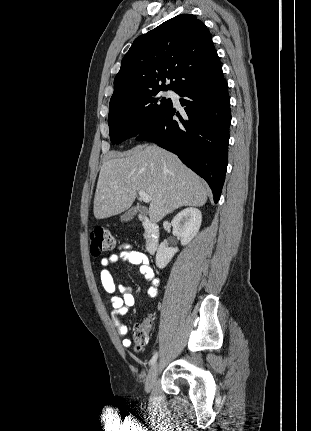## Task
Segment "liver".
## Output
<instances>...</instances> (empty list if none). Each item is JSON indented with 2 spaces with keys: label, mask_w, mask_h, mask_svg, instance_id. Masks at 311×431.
<instances>
[{
  "label": "liver",
  "mask_w": 311,
  "mask_h": 431,
  "mask_svg": "<svg viewBox=\"0 0 311 431\" xmlns=\"http://www.w3.org/2000/svg\"><path fill=\"white\" fill-rule=\"evenodd\" d=\"M139 190L151 196L148 216L153 223L182 206H204L210 192L206 182L186 168L178 156L155 144H140L102 164L94 217L105 219L126 212Z\"/></svg>",
  "instance_id": "liver-1"
}]
</instances>
